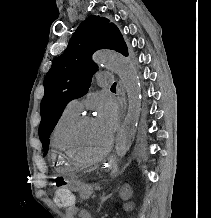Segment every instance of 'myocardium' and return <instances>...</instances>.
<instances>
[{"instance_id":"f54148a6","label":"myocardium","mask_w":211,"mask_h":218,"mask_svg":"<svg viewBox=\"0 0 211 218\" xmlns=\"http://www.w3.org/2000/svg\"><path fill=\"white\" fill-rule=\"evenodd\" d=\"M90 115L79 117L70 127L66 135L67 155L77 164H91L105 158L112 151L115 138L112 136L110 144L101 152L95 155L81 156L76 154L75 138L81 127L88 121L92 120Z\"/></svg>"}]
</instances>
